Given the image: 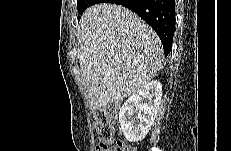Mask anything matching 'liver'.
<instances>
[{"instance_id":"liver-1","label":"liver","mask_w":231,"mask_h":151,"mask_svg":"<svg viewBox=\"0 0 231 151\" xmlns=\"http://www.w3.org/2000/svg\"><path fill=\"white\" fill-rule=\"evenodd\" d=\"M77 43L92 111L135 94L163 67V48L155 31L120 5L87 8Z\"/></svg>"}]
</instances>
